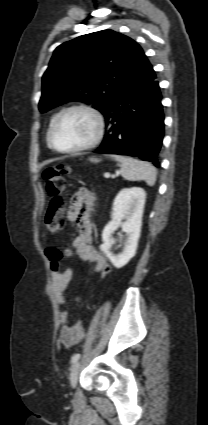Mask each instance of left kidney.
Returning a JSON list of instances; mask_svg holds the SVG:
<instances>
[{"instance_id":"obj_1","label":"left kidney","mask_w":208,"mask_h":425,"mask_svg":"<svg viewBox=\"0 0 208 425\" xmlns=\"http://www.w3.org/2000/svg\"><path fill=\"white\" fill-rule=\"evenodd\" d=\"M146 193L142 188H124L114 199L111 221L102 232V252L109 258L116 268L125 266L136 254L141 232L142 215L144 211ZM123 220H125L123 222ZM118 227L126 233L123 251L114 254L112 248V234Z\"/></svg>"}]
</instances>
